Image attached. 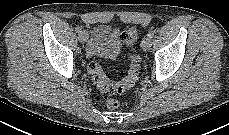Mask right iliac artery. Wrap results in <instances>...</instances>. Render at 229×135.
Returning a JSON list of instances; mask_svg holds the SVG:
<instances>
[{"mask_svg": "<svg viewBox=\"0 0 229 135\" xmlns=\"http://www.w3.org/2000/svg\"><path fill=\"white\" fill-rule=\"evenodd\" d=\"M81 30H82V27H79V26H78V27L76 28V31H77L78 33L82 32Z\"/></svg>", "mask_w": 229, "mask_h": 135, "instance_id": "right-iliac-artery-1", "label": "right iliac artery"}]
</instances>
